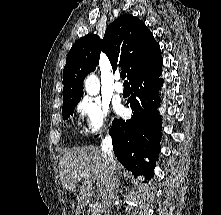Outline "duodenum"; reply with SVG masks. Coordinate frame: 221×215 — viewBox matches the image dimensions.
Returning <instances> with one entry per match:
<instances>
[{"label":"duodenum","instance_id":"1","mask_svg":"<svg viewBox=\"0 0 221 215\" xmlns=\"http://www.w3.org/2000/svg\"><path fill=\"white\" fill-rule=\"evenodd\" d=\"M78 215H87L85 211H80Z\"/></svg>","mask_w":221,"mask_h":215}]
</instances>
